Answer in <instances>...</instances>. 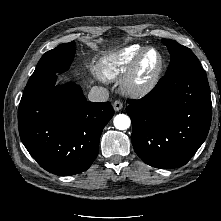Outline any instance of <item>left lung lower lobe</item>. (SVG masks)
<instances>
[{
  "label": "left lung lower lobe",
  "mask_w": 221,
  "mask_h": 221,
  "mask_svg": "<svg viewBox=\"0 0 221 221\" xmlns=\"http://www.w3.org/2000/svg\"><path fill=\"white\" fill-rule=\"evenodd\" d=\"M128 103L133 147L150 166L185 165L209 132L210 88L200 63L185 64L166 74L148 95Z\"/></svg>",
  "instance_id": "left-lung-lower-lobe-1"
}]
</instances>
